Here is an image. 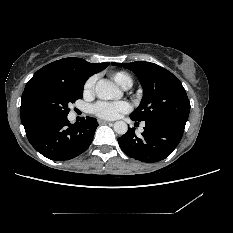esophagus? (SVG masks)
Here are the masks:
<instances>
[{
  "instance_id": "34e87169",
  "label": "esophagus",
  "mask_w": 233,
  "mask_h": 233,
  "mask_svg": "<svg viewBox=\"0 0 233 233\" xmlns=\"http://www.w3.org/2000/svg\"><path fill=\"white\" fill-rule=\"evenodd\" d=\"M98 123L99 124H112V122L106 121V120H99Z\"/></svg>"
}]
</instances>
